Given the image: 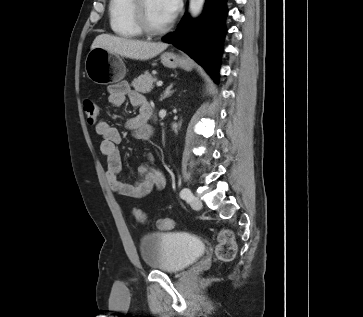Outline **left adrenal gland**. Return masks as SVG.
I'll return each instance as SVG.
<instances>
[{
    "instance_id": "obj_1",
    "label": "left adrenal gland",
    "mask_w": 363,
    "mask_h": 317,
    "mask_svg": "<svg viewBox=\"0 0 363 317\" xmlns=\"http://www.w3.org/2000/svg\"><path fill=\"white\" fill-rule=\"evenodd\" d=\"M173 87V83H171L166 90L164 91V93L161 95L160 101H162L163 99L169 97L174 91L171 90Z\"/></svg>"
}]
</instances>
